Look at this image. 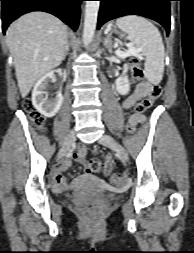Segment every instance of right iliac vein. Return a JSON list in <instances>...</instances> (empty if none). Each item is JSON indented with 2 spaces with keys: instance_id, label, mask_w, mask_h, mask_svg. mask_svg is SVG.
<instances>
[{
  "instance_id": "1",
  "label": "right iliac vein",
  "mask_w": 194,
  "mask_h": 253,
  "mask_svg": "<svg viewBox=\"0 0 194 253\" xmlns=\"http://www.w3.org/2000/svg\"><path fill=\"white\" fill-rule=\"evenodd\" d=\"M74 142H75V132L72 130L68 134L64 144L62 145V147L58 153V159L62 158L70 150V148L73 146Z\"/></svg>"
}]
</instances>
